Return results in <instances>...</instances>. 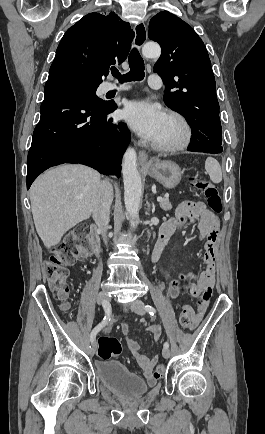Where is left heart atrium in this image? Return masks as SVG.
<instances>
[{
    "label": "left heart atrium",
    "instance_id": "1",
    "mask_svg": "<svg viewBox=\"0 0 265 434\" xmlns=\"http://www.w3.org/2000/svg\"><path fill=\"white\" fill-rule=\"evenodd\" d=\"M123 117L134 131L153 143L158 140L167 121L163 109L147 100L129 102L123 110Z\"/></svg>",
    "mask_w": 265,
    "mask_h": 434
}]
</instances>
